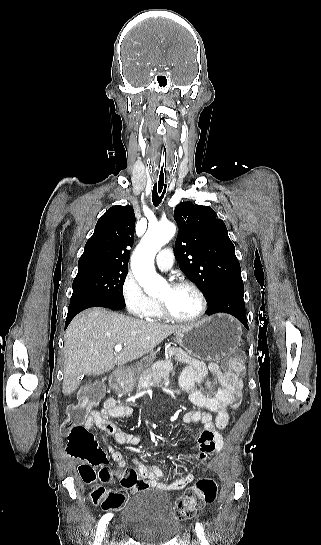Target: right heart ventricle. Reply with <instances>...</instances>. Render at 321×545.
Returning a JSON list of instances; mask_svg holds the SVG:
<instances>
[{
  "instance_id": "right-heart-ventricle-1",
  "label": "right heart ventricle",
  "mask_w": 321,
  "mask_h": 545,
  "mask_svg": "<svg viewBox=\"0 0 321 545\" xmlns=\"http://www.w3.org/2000/svg\"><path fill=\"white\" fill-rule=\"evenodd\" d=\"M150 321H163L165 320V317L163 316V314L160 312L159 310V307L157 306L156 309L154 310L152 316L149 318Z\"/></svg>"
}]
</instances>
